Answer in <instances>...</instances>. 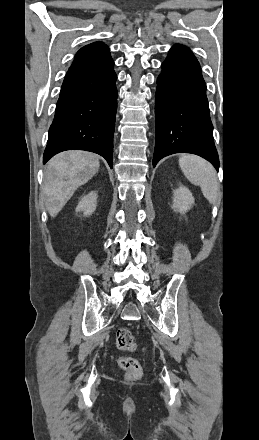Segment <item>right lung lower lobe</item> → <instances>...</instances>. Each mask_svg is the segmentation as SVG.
I'll use <instances>...</instances> for the list:
<instances>
[{
    "label": "right lung lower lobe",
    "mask_w": 259,
    "mask_h": 440,
    "mask_svg": "<svg viewBox=\"0 0 259 440\" xmlns=\"http://www.w3.org/2000/svg\"><path fill=\"white\" fill-rule=\"evenodd\" d=\"M113 66L110 54L71 65L49 129L44 164L59 152L86 150L104 157L112 168L117 110Z\"/></svg>",
    "instance_id": "obj_1"
}]
</instances>
